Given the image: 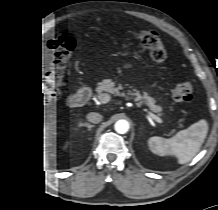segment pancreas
I'll use <instances>...</instances> for the list:
<instances>
[{
	"instance_id": "obj_1",
	"label": "pancreas",
	"mask_w": 218,
	"mask_h": 210,
	"mask_svg": "<svg viewBox=\"0 0 218 210\" xmlns=\"http://www.w3.org/2000/svg\"><path fill=\"white\" fill-rule=\"evenodd\" d=\"M98 89L99 92L109 91L116 96L126 97L128 99H133L134 101H139V105L145 104L158 116L162 115V107L160 105H156V101L154 100V98H152L147 92H143L141 94L138 90L131 87V90L128 93H125L126 91L124 90L122 85H118L116 87L115 83L111 80L103 81Z\"/></svg>"
}]
</instances>
